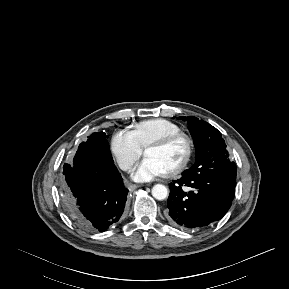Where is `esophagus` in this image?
I'll use <instances>...</instances> for the list:
<instances>
[{
    "label": "esophagus",
    "instance_id": "obj_1",
    "mask_svg": "<svg viewBox=\"0 0 289 289\" xmlns=\"http://www.w3.org/2000/svg\"><path fill=\"white\" fill-rule=\"evenodd\" d=\"M138 187H140V185H137V184H129V186H128L130 191H133V190H135Z\"/></svg>",
    "mask_w": 289,
    "mask_h": 289
}]
</instances>
